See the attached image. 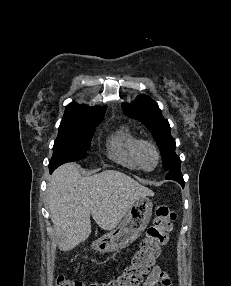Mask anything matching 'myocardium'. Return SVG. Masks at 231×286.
I'll use <instances>...</instances> for the list:
<instances>
[{"mask_svg": "<svg viewBox=\"0 0 231 286\" xmlns=\"http://www.w3.org/2000/svg\"><path fill=\"white\" fill-rule=\"evenodd\" d=\"M146 150H151L156 158V163L154 165L153 168L148 169L145 165H144V153ZM137 161L138 164L140 166V168L144 171H152L155 168L158 167L160 160H161V156H160V151L158 149V147L151 141L148 140H140L138 147H137Z\"/></svg>", "mask_w": 231, "mask_h": 286, "instance_id": "1", "label": "myocardium"}]
</instances>
